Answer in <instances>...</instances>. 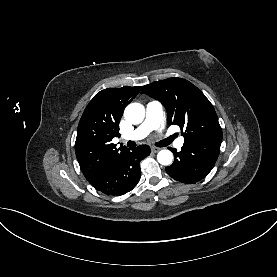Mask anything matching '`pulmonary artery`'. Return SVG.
I'll return each instance as SVG.
<instances>
[{
	"label": "pulmonary artery",
	"instance_id": "1",
	"mask_svg": "<svg viewBox=\"0 0 277 277\" xmlns=\"http://www.w3.org/2000/svg\"><path fill=\"white\" fill-rule=\"evenodd\" d=\"M162 105L158 101H151L146 105V117L143 123L127 137L129 140H140L145 138L151 131L159 128L162 121ZM184 145V138L179 137L174 146L181 149Z\"/></svg>",
	"mask_w": 277,
	"mask_h": 277
}]
</instances>
